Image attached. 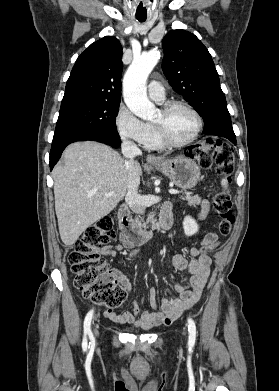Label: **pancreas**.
Wrapping results in <instances>:
<instances>
[{
    "instance_id": "cf45deb5",
    "label": "pancreas",
    "mask_w": 279,
    "mask_h": 391,
    "mask_svg": "<svg viewBox=\"0 0 279 391\" xmlns=\"http://www.w3.org/2000/svg\"><path fill=\"white\" fill-rule=\"evenodd\" d=\"M180 198L186 200L188 202V205L190 206H196L201 203V197H199L198 195H192V193H185V195H181ZM152 221H153V215L149 214L146 222L143 223L138 222V224L141 227L146 228L147 224Z\"/></svg>"
}]
</instances>
